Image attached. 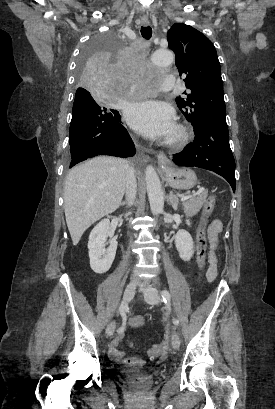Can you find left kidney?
<instances>
[{
  "label": "left kidney",
  "mask_w": 275,
  "mask_h": 409,
  "mask_svg": "<svg viewBox=\"0 0 275 409\" xmlns=\"http://www.w3.org/2000/svg\"><path fill=\"white\" fill-rule=\"evenodd\" d=\"M187 225H191L190 221H186ZM175 247L179 253L180 259L182 261H190L191 257L194 255L193 239L187 231H178L175 235Z\"/></svg>",
  "instance_id": "left-kidney-1"
}]
</instances>
